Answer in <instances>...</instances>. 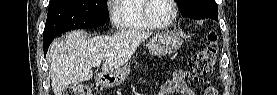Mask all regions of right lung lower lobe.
Masks as SVG:
<instances>
[{
  "label": "right lung lower lobe",
  "instance_id": "obj_1",
  "mask_svg": "<svg viewBox=\"0 0 277 95\" xmlns=\"http://www.w3.org/2000/svg\"><path fill=\"white\" fill-rule=\"evenodd\" d=\"M55 37H52V38H45L44 39V54L46 55L47 53V50L49 48V45L51 44V42L53 41Z\"/></svg>",
  "mask_w": 277,
  "mask_h": 95
}]
</instances>
